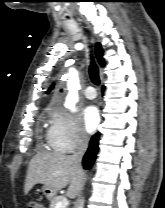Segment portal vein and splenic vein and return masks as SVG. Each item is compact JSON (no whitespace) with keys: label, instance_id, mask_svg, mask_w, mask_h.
<instances>
[{"label":"portal vein and splenic vein","instance_id":"1","mask_svg":"<svg viewBox=\"0 0 165 208\" xmlns=\"http://www.w3.org/2000/svg\"><path fill=\"white\" fill-rule=\"evenodd\" d=\"M68 204L69 201L66 198H64L62 201L56 204V208H66Z\"/></svg>","mask_w":165,"mask_h":208}]
</instances>
